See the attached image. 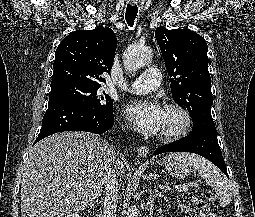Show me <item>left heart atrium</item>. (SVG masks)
Here are the masks:
<instances>
[{
	"label": "left heart atrium",
	"instance_id": "left-heart-atrium-1",
	"mask_svg": "<svg viewBox=\"0 0 255 217\" xmlns=\"http://www.w3.org/2000/svg\"><path fill=\"white\" fill-rule=\"evenodd\" d=\"M126 118L143 134L156 135L161 131L164 108L155 101H134L124 107Z\"/></svg>",
	"mask_w": 255,
	"mask_h": 217
}]
</instances>
